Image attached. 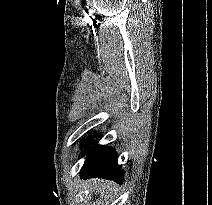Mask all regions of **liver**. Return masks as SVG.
<instances>
[{"instance_id": "liver-1", "label": "liver", "mask_w": 212, "mask_h": 205, "mask_svg": "<svg viewBox=\"0 0 212 205\" xmlns=\"http://www.w3.org/2000/svg\"><path fill=\"white\" fill-rule=\"evenodd\" d=\"M92 189L97 193H100L101 196H109L111 192L114 190V183L108 182L104 180H91Z\"/></svg>"}]
</instances>
